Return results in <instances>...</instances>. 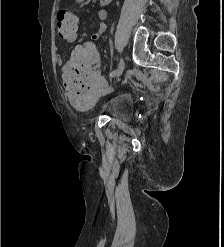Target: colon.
Listing matches in <instances>:
<instances>
[{
    "label": "colon",
    "instance_id": "1",
    "mask_svg": "<svg viewBox=\"0 0 224 247\" xmlns=\"http://www.w3.org/2000/svg\"><path fill=\"white\" fill-rule=\"evenodd\" d=\"M57 30L60 37L68 39L77 34L78 19L70 10L57 14ZM68 83V99L78 108L92 106L106 88L99 70V57L92 43L78 45L64 71Z\"/></svg>",
    "mask_w": 224,
    "mask_h": 247
}]
</instances>
